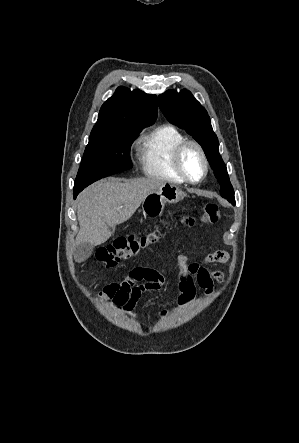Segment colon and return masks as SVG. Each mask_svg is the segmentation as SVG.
Returning a JSON list of instances; mask_svg holds the SVG:
<instances>
[{"instance_id":"1","label":"colon","mask_w":299,"mask_h":443,"mask_svg":"<svg viewBox=\"0 0 299 443\" xmlns=\"http://www.w3.org/2000/svg\"><path fill=\"white\" fill-rule=\"evenodd\" d=\"M221 217L220 206L215 202H209L204 207V212L200 217L203 224L212 225L218 222ZM183 222L186 225H193V218L186 217ZM159 238L158 232H151L146 235L129 234L117 238L113 243L101 247L97 251V260L105 267L111 268L121 260L136 256L146 247L155 243Z\"/></svg>"}]
</instances>
